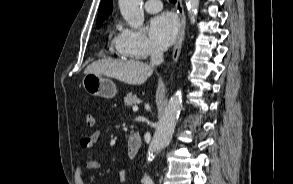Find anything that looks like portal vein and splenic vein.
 <instances>
[{
	"label": "portal vein and splenic vein",
	"instance_id": "portal-vein-and-splenic-vein-1",
	"mask_svg": "<svg viewBox=\"0 0 293 184\" xmlns=\"http://www.w3.org/2000/svg\"><path fill=\"white\" fill-rule=\"evenodd\" d=\"M132 110H133L134 112H137V111H138V107H137V106H134V107L132 108Z\"/></svg>",
	"mask_w": 293,
	"mask_h": 184
}]
</instances>
